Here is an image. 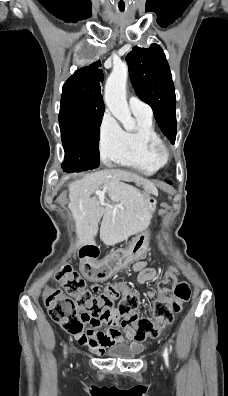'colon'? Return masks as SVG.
Here are the masks:
<instances>
[{"mask_svg": "<svg viewBox=\"0 0 228 396\" xmlns=\"http://www.w3.org/2000/svg\"><path fill=\"white\" fill-rule=\"evenodd\" d=\"M55 279L67 295L59 289H48L44 293V303L50 318L73 335L84 332L86 325L98 328L105 324L132 329L137 341L154 338L173 322L174 315L191 296L188 284L177 283L176 272L171 269L158 283L159 297L154 302L153 319L139 318L135 314L138 297L125 283L108 284L101 294L94 295L70 265L61 266ZM117 301L119 315L123 316L120 323L112 314Z\"/></svg>", "mask_w": 228, "mask_h": 396, "instance_id": "5ec220e1", "label": "colon"}]
</instances>
